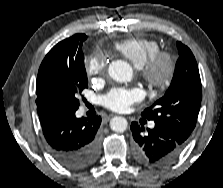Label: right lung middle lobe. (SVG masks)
I'll use <instances>...</instances> for the list:
<instances>
[{"instance_id": "right-lung-middle-lobe-1", "label": "right lung middle lobe", "mask_w": 223, "mask_h": 188, "mask_svg": "<svg viewBox=\"0 0 223 188\" xmlns=\"http://www.w3.org/2000/svg\"><path fill=\"white\" fill-rule=\"evenodd\" d=\"M86 38L85 34H79L69 53L57 52L45 56L36 83L38 107H79L78 96L88 87L82 52V43Z\"/></svg>"}]
</instances>
